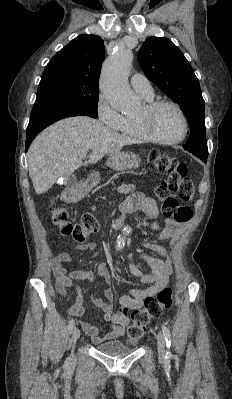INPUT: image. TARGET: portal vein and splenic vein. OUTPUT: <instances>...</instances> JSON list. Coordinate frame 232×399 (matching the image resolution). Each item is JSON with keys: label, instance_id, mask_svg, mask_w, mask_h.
<instances>
[{"label": "portal vein and splenic vein", "instance_id": "portal-vein-and-splenic-vein-1", "mask_svg": "<svg viewBox=\"0 0 232 399\" xmlns=\"http://www.w3.org/2000/svg\"><path fill=\"white\" fill-rule=\"evenodd\" d=\"M87 152H83V154H81V156H79V158H85Z\"/></svg>", "mask_w": 232, "mask_h": 399}]
</instances>
